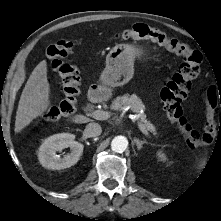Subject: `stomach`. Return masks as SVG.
Returning <instances> with one entry per match:
<instances>
[{"label": "stomach", "instance_id": "0dacf381", "mask_svg": "<svg viewBox=\"0 0 221 221\" xmlns=\"http://www.w3.org/2000/svg\"><path fill=\"white\" fill-rule=\"evenodd\" d=\"M143 54L139 45L117 44L106 56V67L100 77L102 84L117 87L129 82L134 73V60Z\"/></svg>", "mask_w": 221, "mask_h": 221}]
</instances>
